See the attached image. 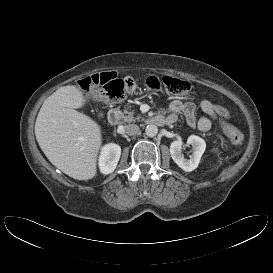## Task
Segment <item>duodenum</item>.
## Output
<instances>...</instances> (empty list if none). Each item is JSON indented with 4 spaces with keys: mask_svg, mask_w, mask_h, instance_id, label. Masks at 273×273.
I'll return each mask as SVG.
<instances>
[{
    "mask_svg": "<svg viewBox=\"0 0 273 273\" xmlns=\"http://www.w3.org/2000/svg\"><path fill=\"white\" fill-rule=\"evenodd\" d=\"M120 118H121V115L117 109L114 108L108 112L107 119L111 125H113V126L117 125L120 121ZM148 122L150 124L156 125V126H162V125L169 124L168 120L163 115L153 116L152 118H150L148 120Z\"/></svg>",
    "mask_w": 273,
    "mask_h": 273,
    "instance_id": "duodenum-1",
    "label": "duodenum"
}]
</instances>
